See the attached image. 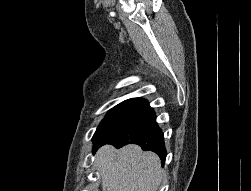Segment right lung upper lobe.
I'll return each instance as SVG.
<instances>
[{
	"label": "right lung upper lobe",
	"instance_id": "cb5924a9",
	"mask_svg": "<svg viewBox=\"0 0 251 191\" xmlns=\"http://www.w3.org/2000/svg\"><path fill=\"white\" fill-rule=\"evenodd\" d=\"M116 107L138 109L145 111L146 109L149 108V103L142 98H132L118 104Z\"/></svg>",
	"mask_w": 251,
	"mask_h": 191
}]
</instances>
